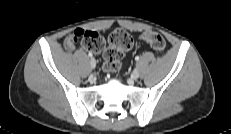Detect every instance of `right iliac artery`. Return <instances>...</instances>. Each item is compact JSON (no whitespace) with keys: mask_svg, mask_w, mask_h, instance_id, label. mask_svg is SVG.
<instances>
[{"mask_svg":"<svg viewBox=\"0 0 231 134\" xmlns=\"http://www.w3.org/2000/svg\"><path fill=\"white\" fill-rule=\"evenodd\" d=\"M88 56H89V57H92L93 55H92V53H91V52H89V53H88Z\"/></svg>","mask_w":231,"mask_h":134,"instance_id":"obj_1","label":"right iliac artery"}]
</instances>
